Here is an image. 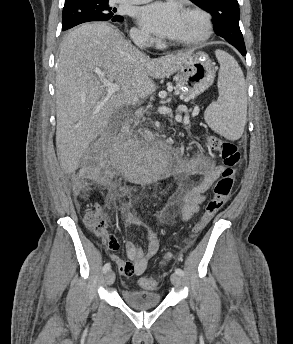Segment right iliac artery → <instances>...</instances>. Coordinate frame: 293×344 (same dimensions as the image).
I'll return each instance as SVG.
<instances>
[{
  "label": "right iliac artery",
  "instance_id": "obj_1",
  "mask_svg": "<svg viewBox=\"0 0 293 344\" xmlns=\"http://www.w3.org/2000/svg\"><path fill=\"white\" fill-rule=\"evenodd\" d=\"M111 268V265L110 263H106L103 267V272L106 273L107 271H109Z\"/></svg>",
  "mask_w": 293,
  "mask_h": 344
}]
</instances>
